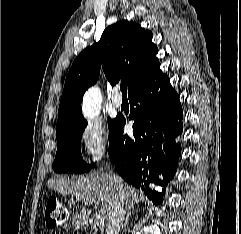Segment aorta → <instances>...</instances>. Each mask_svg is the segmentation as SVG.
Wrapping results in <instances>:
<instances>
[{
	"label": "aorta",
	"mask_w": 241,
	"mask_h": 234,
	"mask_svg": "<svg viewBox=\"0 0 241 234\" xmlns=\"http://www.w3.org/2000/svg\"><path fill=\"white\" fill-rule=\"evenodd\" d=\"M101 93L97 87L90 88L84 95L82 110L85 118L93 120L99 115Z\"/></svg>",
	"instance_id": "obj_1"
}]
</instances>
